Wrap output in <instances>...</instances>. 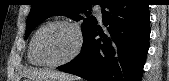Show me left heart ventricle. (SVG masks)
Here are the masks:
<instances>
[{"label": "left heart ventricle", "mask_w": 169, "mask_h": 81, "mask_svg": "<svg viewBox=\"0 0 169 81\" xmlns=\"http://www.w3.org/2000/svg\"><path fill=\"white\" fill-rule=\"evenodd\" d=\"M76 45V34L73 29L59 25L50 28L41 38V51L50 62L65 59Z\"/></svg>", "instance_id": "1"}]
</instances>
